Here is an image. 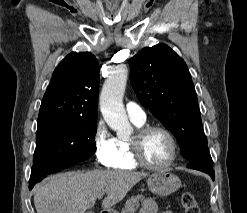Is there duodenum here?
I'll list each match as a JSON object with an SVG mask.
<instances>
[{
	"instance_id": "duodenum-1",
	"label": "duodenum",
	"mask_w": 247,
	"mask_h": 213,
	"mask_svg": "<svg viewBox=\"0 0 247 213\" xmlns=\"http://www.w3.org/2000/svg\"><path fill=\"white\" fill-rule=\"evenodd\" d=\"M100 213H112V212H110V211H102Z\"/></svg>"
}]
</instances>
